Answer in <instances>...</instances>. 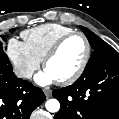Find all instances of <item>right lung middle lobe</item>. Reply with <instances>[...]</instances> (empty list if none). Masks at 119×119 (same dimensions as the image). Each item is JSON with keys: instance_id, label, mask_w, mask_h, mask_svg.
Instances as JSON below:
<instances>
[{"instance_id": "obj_1", "label": "right lung middle lobe", "mask_w": 119, "mask_h": 119, "mask_svg": "<svg viewBox=\"0 0 119 119\" xmlns=\"http://www.w3.org/2000/svg\"><path fill=\"white\" fill-rule=\"evenodd\" d=\"M15 29H11L10 31L13 32ZM2 39L5 41V37L1 36ZM0 69L1 70H7L12 71V65L9 62L8 56L5 54L2 42H0Z\"/></svg>"}]
</instances>
